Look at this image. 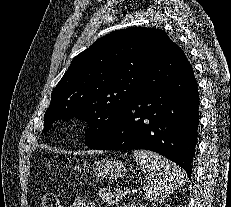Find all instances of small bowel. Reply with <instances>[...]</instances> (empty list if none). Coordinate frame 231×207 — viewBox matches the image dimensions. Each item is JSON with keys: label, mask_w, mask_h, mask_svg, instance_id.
<instances>
[{"label": "small bowel", "mask_w": 231, "mask_h": 207, "mask_svg": "<svg viewBox=\"0 0 231 207\" xmlns=\"http://www.w3.org/2000/svg\"><path fill=\"white\" fill-rule=\"evenodd\" d=\"M70 207H96V204L89 199L77 197L72 201Z\"/></svg>", "instance_id": "c3829d8e"}]
</instances>
